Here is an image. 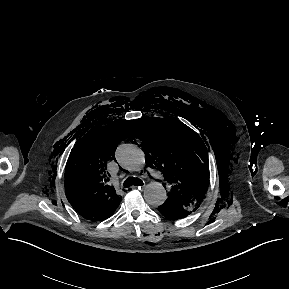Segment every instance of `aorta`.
Returning <instances> with one entry per match:
<instances>
[{
    "instance_id": "aorta-1",
    "label": "aorta",
    "mask_w": 289,
    "mask_h": 289,
    "mask_svg": "<svg viewBox=\"0 0 289 289\" xmlns=\"http://www.w3.org/2000/svg\"><path fill=\"white\" fill-rule=\"evenodd\" d=\"M116 160L120 166L129 171H141L147 163L144 152L133 144L118 146ZM144 198L148 204L157 207L166 201L167 193L161 183L153 182L146 186Z\"/></svg>"
}]
</instances>
